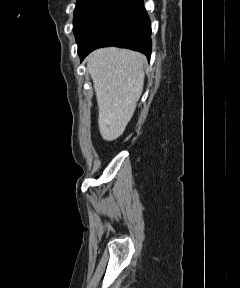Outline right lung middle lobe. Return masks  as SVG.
<instances>
[{
    "mask_svg": "<svg viewBox=\"0 0 240 288\" xmlns=\"http://www.w3.org/2000/svg\"><path fill=\"white\" fill-rule=\"evenodd\" d=\"M121 0H78L74 11V34L78 46L84 45L100 23Z\"/></svg>",
    "mask_w": 240,
    "mask_h": 288,
    "instance_id": "obj_1",
    "label": "right lung middle lobe"
}]
</instances>
